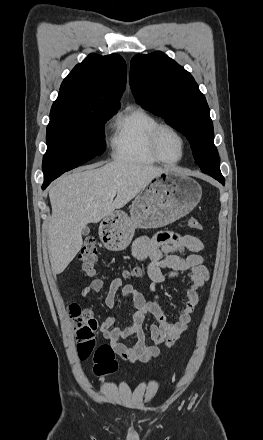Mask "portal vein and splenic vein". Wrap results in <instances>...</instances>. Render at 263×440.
Returning <instances> with one entry per match:
<instances>
[{
	"label": "portal vein and splenic vein",
	"mask_w": 263,
	"mask_h": 440,
	"mask_svg": "<svg viewBox=\"0 0 263 440\" xmlns=\"http://www.w3.org/2000/svg\"><path fill=\"white\" fill-rule=\"evenodd\" d=\"M115 196H116V192L115 191L109 193V197L110 198H114Z\"/></svg>",
	"instance_id": "obj_1"
}]
</instances>
